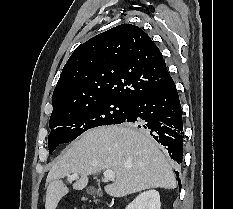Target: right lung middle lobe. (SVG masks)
Segmentation results:
<instances>
[{
  "mask_svg": "<svg viewBox=\"0 0 233 209\" xmlns=\"http://www.w3.org/2000/svg\"><path fill=\"white\" fill-rule=\"evenodd\" d=\"M131 101L119 98L98 100L68 112L52 114L49 121V153L61 143L71 142L90 128L120 124L128 114Z\"/></svg>",
  "mask_w": 233,
  "mask_h": 209,
  "instance_id": "dd1d6c3e",
  "label": "right lung middle lobe"
}]
</instances>
